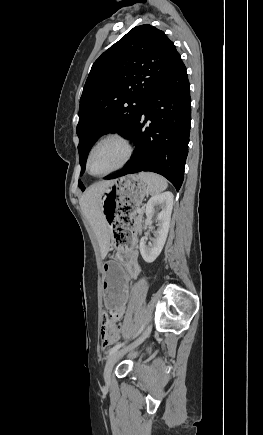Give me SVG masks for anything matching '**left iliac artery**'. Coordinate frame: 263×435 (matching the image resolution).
<instances>
[{"mask_svg": "<svg viewBox=\"0 0 263 435\" xmlns=\"http://www.w3.org/2000/svg\"><path fill=\"white\" fill-rule=\"evenodd\" d=\"M144 327H145V325H142L141 328L138 330V332L133 336V338L137 337L143 331ZM124 345H125V342L115 345L113 348L110 349L109 355H111L112 353H114L115 351H117L119 348H121Z\"/></svg>", "mask_w": 263, "mask_h": 435, "instance_id": "left-iliac-artery-1", "label": "left iliac artery"}]
</instances>
